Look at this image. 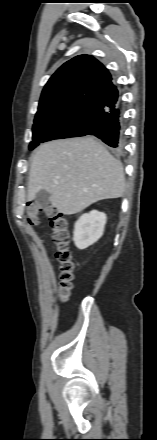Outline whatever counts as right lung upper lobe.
Listing matches in <instances>:
<instances>
[{
    "mask_svg": "<svg viewBox=\"0 0 157 440\" xmlns=\"http://www.w3.org/2000/svg\"><path fill=\"white\" fill-rule=\"evenodd\" d=\"M118 104V90L108 70L94 57L79 55L49 79L34 122L77 120L87 126Z\"/></svg>",
    "mask_w": 157,
    "mask_h": 440,
    "instance_id": "1",
    "label": "right lung upper lobe"
}]
</instances>
